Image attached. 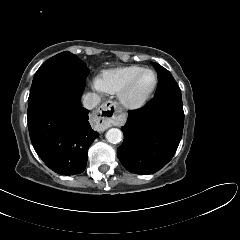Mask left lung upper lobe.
Masks as SVG:
<instances>
[{
  "instance_id": "left-lung-upper-lobe-1",
  "label": "left lung upper lobe",
  "mask_w": 240,
  "mask_h": 240,
  "mask_svg": "<svg viewBox=\"0 0 240 240\" xmlns=\"http://www.w3.org/2000/svg\"><path fill=\"white\" fill-rule=\"evenodd\" d=\"M153 65L159 77V85L154 97L162 95H181L180 89L171 73L158 63H154Z\"/></svg>"
}]
</instances>
